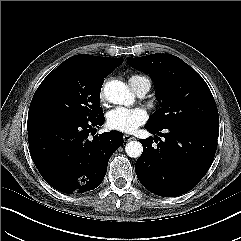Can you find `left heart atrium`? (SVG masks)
<instances>
[{
  "label": "left heart atrium",
  "instance_id": "obj_1",
  "mask_svg": "<svg viewBox=\"0 0 241 241\" xmlns=\"http://www.w3.org/2000/svg\"><path fill=\"white\" fill-rule=\"evenodd\" d=\"M146 120L147 114L141 108L117 107L107 114L109 128L125 133L134 132Z\"/></svg>",
  "mask_w": 241,
  "mask_h": 241
}]
</instances>
